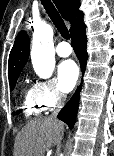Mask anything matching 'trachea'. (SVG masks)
<instances>
[{
  "instance_id": "obj_1",
  "label": "trachea",
  "mask_w": 114,
  "mask_h": 156,
  "mask_svg": "<svg viewBox=\"0 0 114 156\" xmlns=\"http://www.w3.org/2000/svg\"><path fill=\"white\" fill-rule=\"evenodd\" d=\"M41 2L48 16L50 17V19L52 20V22L54 23L55 27L58 29L62 37L65 39H69L70 38L69 31L62 17L58 13L52 2L50 0H41Z\"/></svg>"
}]
</instances>
